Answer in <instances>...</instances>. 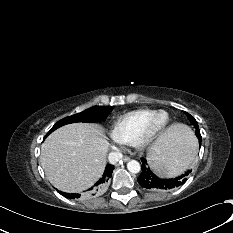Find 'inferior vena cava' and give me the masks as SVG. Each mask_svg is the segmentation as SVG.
I'll use <instances>...</instances> for the list:
<instances>
[{
	"label": "inferior vena cava",
	"mask_w": 233,
	"mask_h": 233,
	"mask_svg": "<svg viewBox=\"0 0 233 233\" xmlns=\"http://www.w3.org/2000/svg\"><path fill=\"white\" fill-rule=\"evenodd\" d=\"M122 157L123 155L120 152H110L108 160L111 164H116Z\"/></svg>",
	"instance_id": "obj_1"
}]
</instances>
